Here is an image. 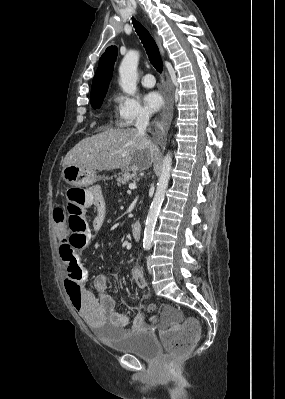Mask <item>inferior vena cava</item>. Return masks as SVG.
Segmentation results:
<instances>
[{
    "label": "inferior vena cava",
    "instance_id": "inferior-vena-cava-1",
    "mask_svg": "<svg viewBox=\"0 0 285 399\" xmlns=\"http://www.w3.org/2000/svg\"><path fill=\"white\" fill-rule=\"evenodd\" d=\"M149 123V115L147 113H140L136 120V129L140 134L145 135L146 128Z\"/></svg>",
    "mask_w": 285,
    "mask_h": 399
}]
</instances>
